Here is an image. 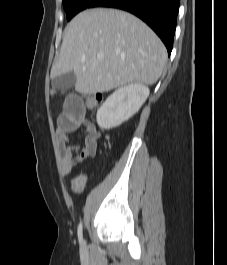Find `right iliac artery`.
<instances>
[{
    "instance_id": "82829eb1",
    "label": "right iliac artery",
    "mask_w": 227,
    "mask_h": 265,
    "mask_svg": "<svg viewBox=\"0 0 227 265\" xmlns=\"http://www.w3.org/2000/svg\"><path fill=\"white\" fill-rule=\"evenodd\" d=\"M82 231H83L82 222H80L78 226V239H79L80 244H82V241H83Z\"/></svg>"
}]
</instances>
